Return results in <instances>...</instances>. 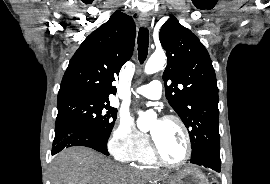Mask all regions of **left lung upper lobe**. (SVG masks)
Segmentation results:
<instances>
[{
    "label": "left lung upper lobe",
    "instance_id": "left-lung-upper-lobe-1",
    "mask_svg": "<svg viewBox=\"0 0 270 184\" xmlns=\"http://www.w3.org/2000/svg\"><path fill=\"white\" fill-rule=\"evenodd\" d=\"M159 39L168 58L166 98L188 128L194 158L204 147H220L214 68L204 45L174 16L162 26Z\"/></svg>",
    "mask_w": 270,
    "mask_h": 184
}]
</instances>
